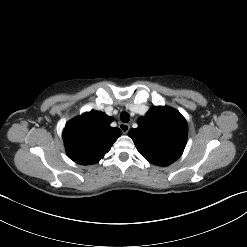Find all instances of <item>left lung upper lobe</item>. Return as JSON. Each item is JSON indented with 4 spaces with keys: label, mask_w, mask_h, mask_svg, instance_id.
I'll return each mask as SVG.
<instances>
[{
    "label": "left lung upper lobe",
    "mask_w": 247,
    "mask_h": 247,
    "mask_svg": "<svg viewBox=\"0 0 247 247\" xmlns=\"http://www.w3.org/2000/svg\"><path fill=\"white\" fill-rule=\"evenodd\" d=\"M137 123L138 127L131 129L128 135L147 161L168 166L182 155L188 127L177 110L167 106L152 107Z\"/></svg>",
    "instance_id": "obj_1"
}]
</instances>
